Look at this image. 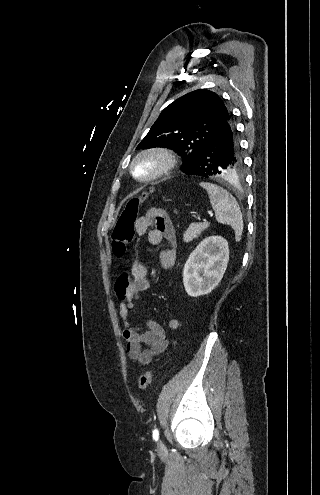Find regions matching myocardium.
Instances as JSON below:
<instances>
[{
  "label": "myocardium",
  "mask_w": 320,
  "mask_h": 495,
  "mask_svg": "<svg viewBox=\"0 0 320 495\" xmlns=\"http://www.w3.org/2000/svg\"><path fill=\"white\" fill-rule=\"evenodd\" d=\"M152 160L156 162V168L148 174H140L137 166L143 162ZM177 164V160L172 151L167 148L153 147L137 153L129 166L131 175L141 182H153L168 175Z\"/></svg>",
  "instance_id": "1"
}]
</instances>
